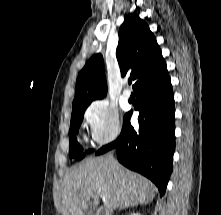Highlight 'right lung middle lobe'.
Masks as SVG:
<instances>
[{
    "label": "right lung middle lobe",
    "instance_id": "right-lung-middle-lobe-1",
    "mask_svg": "<svg viewBox=\"0 0 221 215\" xmlns=\"http://www.w3.org/2000/svg\"><path fill=\"white\" fill-rule=\"evenodd\" d=\"M90 103H83L78 105H73V112L71 115L69 138H70V157L81 160L84 157L82 153V147L78 144L75 135L78 133V129L82 123L83 115L86 108ZM92 150H88L91 152Z\"/></svg>",
    "mask_w": 221,
    "mask_h": 215
}]
</instances>
